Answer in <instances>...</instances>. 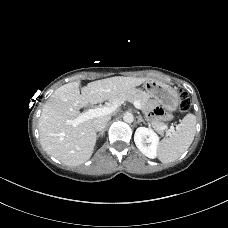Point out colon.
<instances>
[{
	"mask_svg": "<svg viewBox=\"0 0 228 228\" xmlns=\"http://www.w3.org/2000/svg\"><path fill=\"white\" fill-rule=\"evenodd\" d=\"M191 101L187 92L180 91L179 111L183 114L187 113L190 109Z\"/></svg>",
	"mask_w": 228,
	"mask_h": 228,
	"instance_id": "5ec220e1",
	"label": "colon"
}]
</instances>
